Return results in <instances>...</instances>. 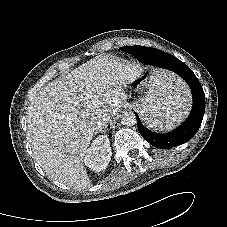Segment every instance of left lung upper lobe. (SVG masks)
Here are the masks:
<instances>
[{"mask_svg": "<svg viewBox=\"0 0 227 227\" xmlns=\"http://www.w3.org/2000/svg\"><path fill=\"white\" fill-rule=\"evenodd\" d=\"M131 46H126V47H122L120 48L122 51L126 52L129 54L128 50L130 49Z\"/></svg>", "mask_w": 227, "mask_h": 227, "instance_id": "left-lung-upper-lobe-1", "label": "left lung upper lobe"}]
</instances>
